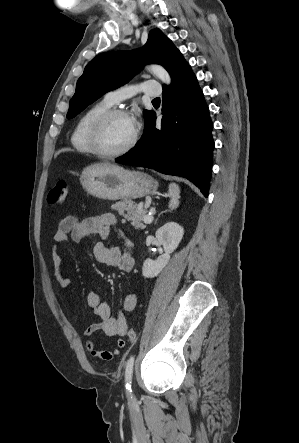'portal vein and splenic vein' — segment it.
I'll return each instance as SVG.
<instances>
[{
    "instance_id": "1",
    "label": "portal vein and splenic vein",
    "mask_w": 299,
    "mask_h": 443,
    "mask_svg": "<svg viewBox=\"0 0 299 443\" xmlns=\"http://www.w3.org/2000/svg\"><path fill=\"white\" fill-rule=\"evenodd\" d=\"M154 220V217L152 215V213L148 214L147 216L144 217V223L145 224H151Z\"/></svg>"
}]
</instances>
